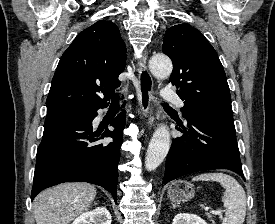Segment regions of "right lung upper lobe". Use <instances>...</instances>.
Segmentation results:
<instances>
[{"label":"right lung upper lobe","mask_w":275,"mask_h":224,"mask_svg":"<svg viewBox=\"0 0 275 224\" xmlns=\"http://www.w3.org/2000/svg\"><path fill=\"white\" fill-rule=\"evenodd\" d=\"M125 51L113 22L101 20L83 30L58 63L46 101L47 113L90 110L107 103L110 93L120 86L118 76L125 67Z\"/></svg>","instance_id":"obj_1"}]
</instances>
